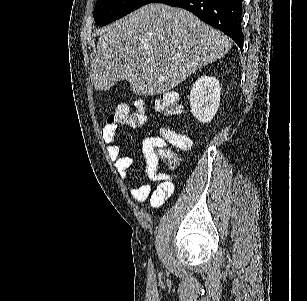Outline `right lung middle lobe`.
<instances>
[{
	"label": "right lung middle lobe",
	"mask_w": 307,
	"mask_h": 301,
	"mask_svg": "<svg viewBox=\"0 0 307 301\" xmlns=\"http://www.w3.org/2000/svg\"><path fill=\"white\" fill-rule=\"evenodd\" d=\"M151 1L152 0H97L93 13L95 23L100 26L109 24Z\"/></svg>",
	"instance_id": "obj_1"
}]
</instances>
